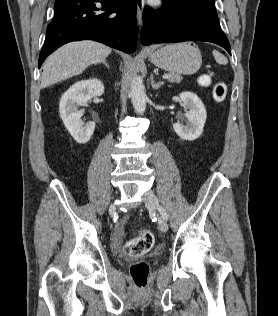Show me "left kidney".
Segmentation results:
<instances>
[{
  "label": "left kidney",
  "mask_w": 278,
  "mask_h": 316,
  "mask_svg": "<svg viewBox=\"0 0 278 316\" xmlns=\"http://www.w3.org/2000/svg\"><path fill=\"white\" fill-rule=\"evenodd\" d=\"M179 97L186 110L189 125L185 126L177 122L173 124V129L182 139L193 141L202 134L207 113L202 101L196 94L192 92H182L179 94Z\"/></svg>",
  "instance_id": "1"
}]
</instances>
